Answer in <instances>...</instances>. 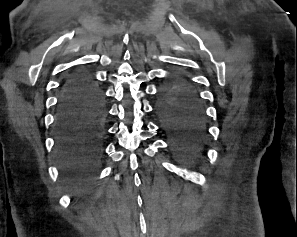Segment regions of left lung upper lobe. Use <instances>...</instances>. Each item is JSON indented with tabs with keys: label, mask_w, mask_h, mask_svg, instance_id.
<instances>
[{
	"label": "left lung upper lobe",
	"mask_w": 297,
	"mask_h": 237,
	"mask_svg": "<svg viewBox=\"0 0 297 237\" xmlns=\"http://www.w3.org/2000/svg\"><path fill=\"white\" fill-rule=\"evenodd\" d=\"M199 98L200 96L190 82L183 77H176L164 87L163 94L160 98V104L169 105L187 100L200 103Z\"/></svg>",
	"instance_id": "1"
}]
</instances>
